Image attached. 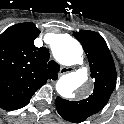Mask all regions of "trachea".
<instances>
[{
    "label": "trachea",
    "mask_w": 124,
    "mask_h": 124,
    "mask_svg": "<svg viewBox=\"0 0 124 124\" xmlns=\"http://www.w3.org/2000/svg\"><path fill=\"white\" fill-rule=\"evenodd\" d=\"M48 69H49L50 71H52V72L57 73V72H59V70H60V66L58 65L57 62L51 60V61L48 63Z\"/></svg>",
    "instance_id": "obj_1"
}]
</instances>
